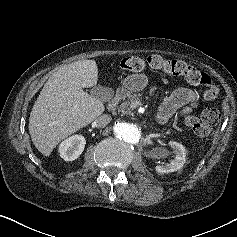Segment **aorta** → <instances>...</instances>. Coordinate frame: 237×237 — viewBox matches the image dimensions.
I'll use <instances>...</instances> for the list:
<instances>
[{"label": "aorta", "mask_w": 237, "mask_h": 237, "mask_svg": "<svg viewBox=\"0 0 237 237\" xmlns=\"http://www.w3.org/2000/svg\"><path fill=\"white\" fill-rule=\"evenodd\" d=\"M114 134L125 142L135 144L140 140V129L130 123L118 122L113 126Z\"/></svg>", "instance_id": "1"}]
</instances>
